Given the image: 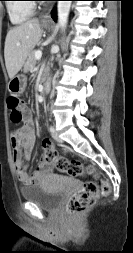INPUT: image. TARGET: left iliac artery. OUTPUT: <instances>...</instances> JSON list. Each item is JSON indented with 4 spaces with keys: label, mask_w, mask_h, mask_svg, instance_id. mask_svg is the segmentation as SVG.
Masks as SVG:
<instances>
[{
    "label": "left iliac artery",
    "mask_w": 133,
    "mask_h": 253,
    "mask_svg": "<svg viewBox=\"0 0 133 253\" xmlns=\"http://www.w3.org/2000/svg\"><path fill=\"white\" fill-rule=\"evenodd\" d=\"M49 130H50V132H54V127L50 126Z\"/></svg>",
    "instance_id": "left-iliac-artery-1"
}]
</instances>
